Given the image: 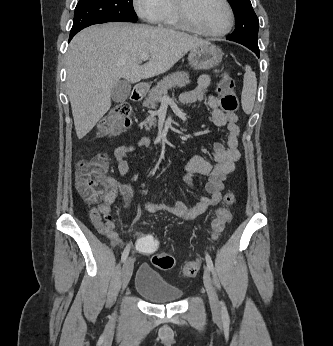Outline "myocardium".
<instances>
[{"mask_svg": "<svg viewBox=\"0 0 333 346\" xmlns=\"http://www.w3.org/2000/svg\"><path fill=\"white\" fill-rule=\"evenodd\" d=\"M221 1L227 10L228 22L225 28L218 32H207L198 26V24L195 22L190 12L192 0H173V3H174L177 17L185 28L206 37H223L227 35L233 28L234 11L229 0H221Z\"/></svg>", "mask_w": 333, "mask_h": 346, "instance_id": "myocardium-1", "label": "myocardium"}]
</instances>
